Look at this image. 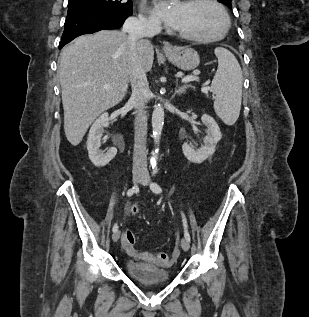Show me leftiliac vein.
I'll use <instances>...</instances> for the list:
<instances>
[{
  "label": "left iliac vein",
  "instance_id": "left-iliac-vein-1",
  "mask_svg": "<svg viewBox=\"0 0 309 317\" xmlns=\"http://www.w3.org/2000/svg\"><path fill=\"white\" fill-rule=\"evenodd\" d=\"M141 183L144 185V186H147L149 183H150V177L147 173L144 174L143 178L141 179ZM181 247L184 251H188L189 248H190V244L189 242L187 241L186 238H182L181 239Z\"/></svg>",
  "mask_w": 309,
  "mask_h": 317
}]
</instances>
